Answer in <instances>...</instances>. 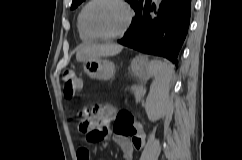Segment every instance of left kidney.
<instances>
[{
  "label": "left kidney",
  "instance_id": "1",
  "mask_svg": "<svg viewBox=\"0 0 242 160\" xmlns=\"http://www.w3.org/2000/svg\"><path fill=\"white\" fill-rule=\"evenodd\" d=\"M146 113L151 122H155L164 116L166 107H160L155 103L146 102Z\"/></svg>",
  "mask_w": 242,
  "mask_h": 160
}]
</instances>
